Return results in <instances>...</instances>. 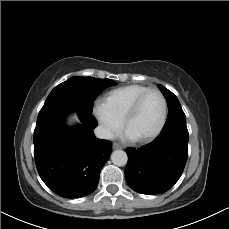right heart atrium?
I'll return each mask as SVG.
<instances>
[{
  "mask_svg": "<svg viewBox=\"0 0 229 229\" xmlns=\"http://www.w3.org/2000/svg\"><path fill=\"white\" fill-rule=\"evenodd\" d=\"M94 113L107 137H114L121 129V121L116 119L102 101L94 104Z\"/></svg>",
  "mask_w": 229,
  "mask_h": 229,
  "instance_id": "1",
  "label": "right heart atrium"
}]
</instances>
